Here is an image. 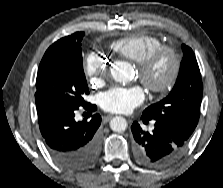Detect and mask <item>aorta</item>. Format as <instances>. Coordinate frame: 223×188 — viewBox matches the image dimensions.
<instances>
[{"instance_id":"aorta-1","label":"aorta","mask_w":223,"mask_h":188,"mask_svg":"<svg viewBox=\"0 0 223 188\" xmlns=\"http://www.w3.org/2000/svg\"><path fill=\"white\" fill-rule=\"evenodd\" d=\"M113 79L117 82H128L133 77V68L126 61H116L110 69ZM127 121L121 116H116L110 121V127L115 132H123L127 129Z\"/></svg>"}]
</instances>
